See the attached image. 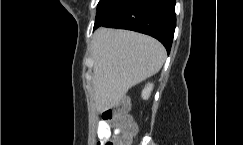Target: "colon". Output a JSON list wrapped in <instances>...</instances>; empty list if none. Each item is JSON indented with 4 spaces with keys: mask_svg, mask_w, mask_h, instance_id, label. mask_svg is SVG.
I'll return each mask as SVG.
<instances>
[{
    "mask_svg": "<svg viewBox=\"0 0 243 145\" xmlns=\"http://www.w3.org/2000/svg\"><path fill=\"white\" fill-rule=\"evenodd\" d=\"M104 121H112L115 129L119 131L116 138H106L101 141V145H131V139L137 132L136 124L129 114V102L122 100L112 108L102 113Z\"/></svg>",
    "mask_w": 243,
    "mask_h": 145,
    "instance_id": "5ec220e1",
    "label": "colon"
}]
</instances>
